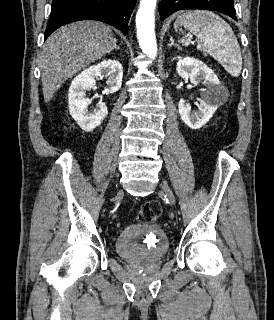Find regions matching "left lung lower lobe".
<instances>
[{"label":"left lung lower lobe","instance_id":"1","mask_svg":"<svg viewBox=\"0 0 274 320\" xmlns=\"http://www.w3.org/2000/svg\"><path fill=\"white\" fill-rule=\"evenodd\" d=\"M161 20L183 9H204L218 11L237 20L233 0H160L158 5Z\"/></svg>","mask_w":274,"mask_h":320}]
</instances>
